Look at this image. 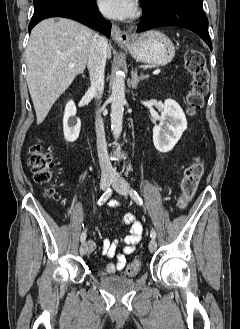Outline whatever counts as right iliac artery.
I'll list each match as a JSON object with an SVG mask.
<instances>
[{"mask_svg":"<svg viewBox=\"0 0 240 329\" xmlns=\"http://www.w3.org/2000/svg\"><path fill=\"white\" fill-rule=\"evenodd\" d=\"M111 194H112V189L108 188V190L100 197L98 201V205H102L103 203H105L109 199ZM85 239H86V230L82 232L80 237L81 242H83Z\"/></svg>","mask_w":240,"mask_h":329,"instance_id":"1","label":"right iliac artery"}]
</instances>
